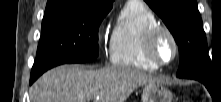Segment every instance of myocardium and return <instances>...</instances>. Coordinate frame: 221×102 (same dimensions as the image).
I'll return each mask as SVG.
<instances>
[{"instance_id": "1", "label": "myocardium", "mask_w": 221, "mask_h": 102, "mask_svg": "<svg viewBox=\"0 0 221 102\" xmlns=\"http://www.w3.org/2000/svg\"><path fill=\"white\" fill-rule=\"evenodd\" d=\"M162 36H166L173 46V55L169 61L161 60L156 53L157 43ZM143 52L146 59L155 66L166 67L176 60L179 53V46L173 33L164 25L158 24L146 31L143 38Z\"/></svg>"}]
</instances>
